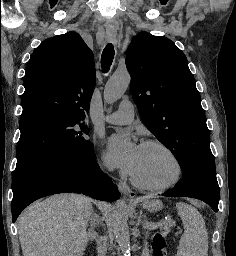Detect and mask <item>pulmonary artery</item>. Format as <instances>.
I'll list each match as a JSON object with an SVG mask.
<instances>
[{
    "mask_svg": "<svg viewBox=\"0 0 236 256\" xmlns=\"http://www.w3.org/2000/svg\"><path fill=\"white\" fill-rule=\"evenodd\" d=\"M127 109H133V104H131V101H120L119 109L106 115L103 120L116 125L128 124L134 119V110Z\"/></svg>",
    "mask_w": 236,
    "mask_h": 256,
    "instance_id": "pulmonary-artery-1",
    "label": "pulmonary artery"
}]
</instances>
